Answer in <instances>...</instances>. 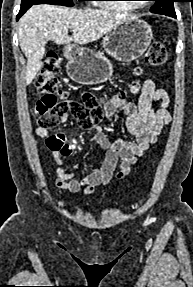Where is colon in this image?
<instances>
[{
    "label": "colon",
    "instance_id": "5ec220e1",
    "mask_svg": "<svg viewBox=\"0 0 193 287\" xmlns=\"http://www.w3.org/2000/svg\"><path fill=\"white\" fill-rule=\"evenodd\" d=\"M166 58L165 46L160 42H154L146 53L145 63L149 66H161L165 63ZM59 70L58 55L54 52L49 53L36 78V86L40 95L36 106L37 113L40 116L38 120L39 127L47 130L53 129L59 118L69 111L81 128H92L103 118V100L90 92L83 93L80 102L66 100L67 93L60 89L58 85L57 74ZM140 73L141 69L138 68L136 74ZM138 90L139 83L134 82L131 85V91L136 93Z\"/></svg>",
    "mask_w": 193,
    "mask_h": 287
}]
</instances>
